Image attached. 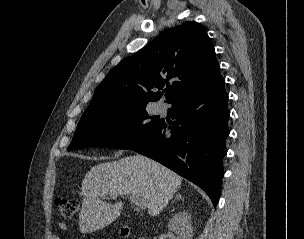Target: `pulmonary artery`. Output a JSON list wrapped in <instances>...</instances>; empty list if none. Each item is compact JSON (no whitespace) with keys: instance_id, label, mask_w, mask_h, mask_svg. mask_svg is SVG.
Listing matches in <instances>:
<instances>
[{"instance_id":"1","label":"pulmonary artery","mask_w":304,"mask_h":239,"mask_svg":"<svg viewBox=\"0 0 304 239\" xmlns=\"http://www.w3.org/2000/svg\"><path fill=\"white\" fill-rule=\"evenodd\" d=\"M156 109L158 112H161L165 109V104L164 103H158L156 106Z\"/></svg>"}]
</instances>
